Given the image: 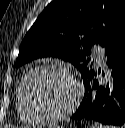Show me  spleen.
<instances>
[{
  "label": "spleen",
  "mask_w": 125,
  "mask_h": 128,
  "mask_svg": "<svg viewBox=\"0 0 125 128\" xmlns=\"http://www.w3.org/2000/svg\"><path fill=\"white\" fill-rule=\"evenodd\" d=\"M92 128H108V127H106V126H104V125H102V124H99V123L95 122V123L92 125Z\"/></svg>",
  "instance_id": "obj_1"
}]
</instances>
